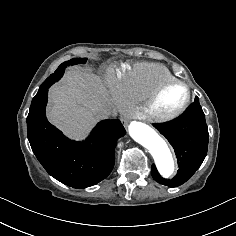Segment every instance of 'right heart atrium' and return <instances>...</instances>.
Instances as JSON below:
<instances>
[{
	"instance_id": "1",
	"label": "right heart atrium",
	"mask_w": 236,
	"mask_h": 236,
	"mask_svg": "<svg viewBox=\"0 0 236 236\" xmlns=\"http://www.w3.org/2000/svg\"><path fill=\"white\" fill-rule=\"evenodd\" d=\"M107 88V96L109 97L114 111H121L127 103L124 94L122 83L113 76H107L104 79Z\"/></svg>"
}]
</instances>
